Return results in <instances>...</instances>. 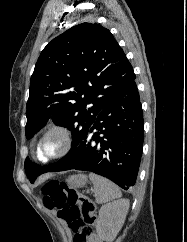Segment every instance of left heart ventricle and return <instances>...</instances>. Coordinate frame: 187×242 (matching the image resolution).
<instances>
[{
	"mask_svg": "<svg viewBox=\"0 0 187 242\" xmlns=\"http://www.w3.org/2000/svg\"><path fill=\"white\" fill-rule=\"evenodd\" d=\"M62 147V140L61 137L53 134L48 136L43 144H42V151L45 155H54L61 150Z\"/></svg>",
	"mask_w": 187,
	"mask_h": 242,
	"instance_id": "1",
	"label": "left heart ventricle"
}]
</instances>
